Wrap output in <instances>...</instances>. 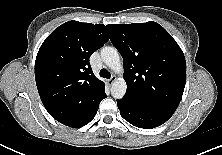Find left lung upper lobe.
Instances as JSON below:
<instances>
[{"instance_id": "1", "label": "left lung upper lobe", "mask_w": 222, "mask_h": 155, "mask_svg": "<svg viewBox=\"0 0 222 155\" xmlns=\"http://www.w3.org/2000/svg\"><path fill=\"white\" fill-rule=\"evenodd\" d=\"M123 57L124 99L173 115L185 88L186 61L172 36L158 23L107 25Z\"/></svg>"}]
</instances>
